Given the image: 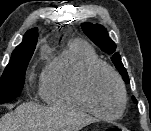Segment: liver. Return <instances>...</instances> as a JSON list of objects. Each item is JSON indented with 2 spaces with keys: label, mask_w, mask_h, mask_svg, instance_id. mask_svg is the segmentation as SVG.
<instances>
[{
  "label": "liver",
  "mask_w": 151,
  "mask_h": 131,
  "mask_svg": "<svg viewBox=\"0 0 151 131\" xmlns=\"http://www.w3.org/2000/svg\"><path fill=\"white\" fill-rule=\"evenodd\" d=\"M94 118L65 106L22 103L0 120V131H79Z\"/></svg>",
  "instance_id": "6515ba94"
}]
</instances>
